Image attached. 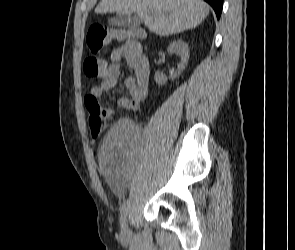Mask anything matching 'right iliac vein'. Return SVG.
Returning <instances> with one entry per match:
<instances>
[{"label":"right iliac vein","mask_w":295,"mask_h":250,"mask_svg":"<svg viewBox=\"0 0 295 250\" xmlns=\"http://www.w3.org/2000/svg\"><path fill=\"white\" fill-rule=\"evenodd\" d=\"M121 237L122 239L126 240L129 237V228L128 225L125 224L122 228H121Z\"/></svg>","instance_id":"right-iliac-vein-1"}]
</instances>
